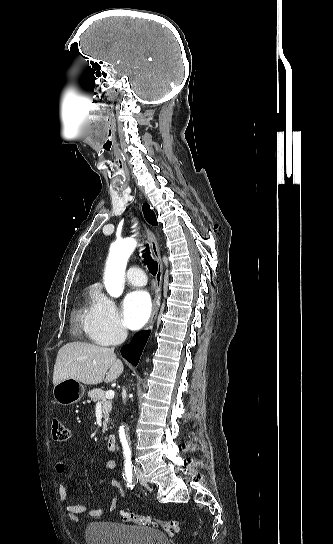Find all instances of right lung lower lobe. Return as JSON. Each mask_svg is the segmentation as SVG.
Returning a JSON list of instances; mask_svg holds the SVG:
<instances>
[{"mask_svg": "<svg viewBox=\"0 0 333 544\" xmlns=\"http://www.w3.org/2000/svg\"><path fill=\"white\" fill-rule=\"evenodd\" d=\"M148 339V332L136 335L128 346L121 349L122 356L131 364L136 366L139 362L141 353Z\"/></svg>", "mask_w": 333, "mask_h": 544, "instance_id": "obj_1", "label": "right lung lower lobe"}]
</instances>
